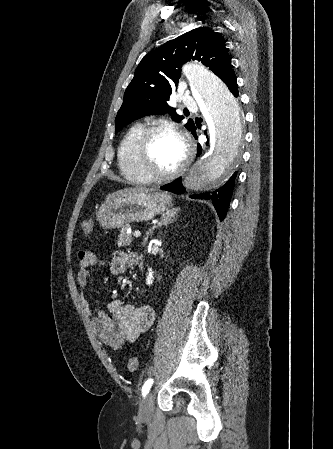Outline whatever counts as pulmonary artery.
<instances>
[{
	"mask_svg": "<svg viewBox=\"0 0 333 449\" xmlns=\"http://www.w3.org/2000/svg\"><path fill=\"white\" fill-rule=\"evenodd\" d=\"M182 102H183V105L189 109H195V107H196V101L191 96H189L187 94H185L182 97Z\"/></svg>",
	"mask_w": 333,
	"mask_h": 449,
	"instance_id": "e3ab8cb5",
	"label": "pulmonary artery"
}]
</instances>
